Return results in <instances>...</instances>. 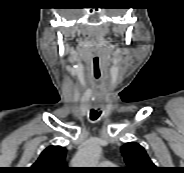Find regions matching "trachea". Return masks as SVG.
I'll list each match as a JSON object with an SVG mask.
<instances>
[{
	"label": "trachea",
	"mask_w": 184,
	"mask_h": 173,
	"mask_svg": "<svg viewBox=\"0 0 184 173\" xmlns=\"http://www.w3.org/2000/svg\"><path fill=\"white\" fill-rule=\"evenodd\" d=\"M91 120H96L98 117L97 116H90Z\"/></svg>",
	"instance_id": "3493384b"
}]
</instances>
